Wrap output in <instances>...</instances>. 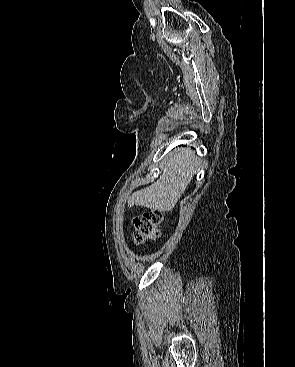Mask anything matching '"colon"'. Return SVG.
<instances>
[{"label":"colon","mask_w":295,"mask_h":367,"mask_svg":"<svg viewBox=\"0 0 295 367\" xmlns=\"http://www.w3.org/2000/svg\"><path fill=\"white\" fill-rule=\"evenodd\" d=\"M163 215L155 210L147 211L134 218V240L137 244L144 243L149 239L160 235V226Z\"/></svg>","instance_id":"1"}]
</instances>
